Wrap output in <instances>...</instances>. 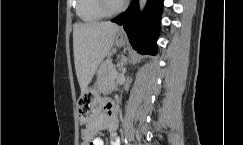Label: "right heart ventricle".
I'll return each mask as SVG.
<instances>
[{
  "label": "right heart ventricle",
  "instance_id": "e07e8e85",
  "mask_svg": "<svg viewBox=\"0 0 243 145\" xmlns=\"http://www.w3.org/2000/svg\"><path fill=\"white\" fill-rule=\"evenodd\" d=\"M76 14L84 23H95L104 19V14L98 5V0H76Z\"/></svg>",
  "mask_w": 243,
  "mask_h": 145
}]
</instances>
